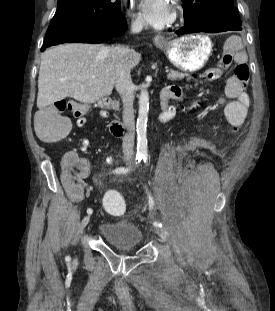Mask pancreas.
<instances>
[{"label": "pancreas", "mask_w": 275, "mask_h": 311, "mask_svg": "<svg viewBox=\"0 0 275 311\" xmlns=\"http://www.w3.org/2000/svg\"><path fill=\"white\" fill-rule=\"evenodd\" d=\"M185 75L186 74H184V73H180V72H177V71H171L168 74V79L172 80V81L182 80L185 77Z\"/></svg>", "instance_id": "cf45deb5"}]
</instances>
